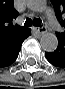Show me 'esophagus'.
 I'll return each instance as SVG.
<instances>
[{
	"mask_svg": "<svg viewBox=\"0 0 65 89\" xmlns=\"http://www.w3.org/2000/svg\"><path fill=\"white\" fill-rule=\"evenodd\" d=\"M33 30H35L40 35L44 34L47 31L46 27H33Z\"/></svg>",
	"mask_w": 65,
	"mask_h": 89,
	"instance_id": "esophagus-1",
	"label": "esophagus"
}]
</instances>
